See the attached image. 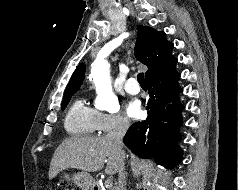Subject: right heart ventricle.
I'll list each match as a JSON object with an SVG mask.
<instances>
[{
    "mask_svg": "<svg viewBox=\"0 0 238 190\" xmlns=\"http://www.w3.org/2000/svg\"><path fill=\"white\" fill-rule=\"evenodd\" d=\"M64 127L72 135H91L97 131L96 111L78 99L69 108Z\"/></svg>",
    "mask_w": 238,
    "mask_h": 190,
    "instance_id": "1",
    "label": "right heart ventricle"
}]
</instances>
